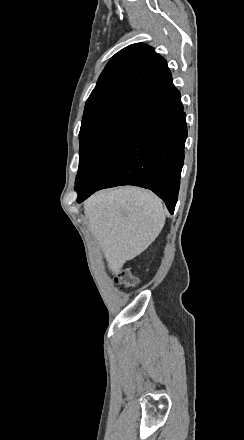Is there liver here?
Listing matches in <instances>:
<instances>
[{"instance_id":"obj_1","label":"liver","mask_w":244,"mask_h":440,"mask_svg":"<svg viewBox=\"0 0 244 440\" xmlns=\"http://www.w3.org/2000/svg\"><path fill=\"white\" fill-rule=\"evenodd\" d=\"M84 214L113 276L149 248L166 220L162 200L133 186L97 192L84 202Z\"/></svg>"}]
</instances>
